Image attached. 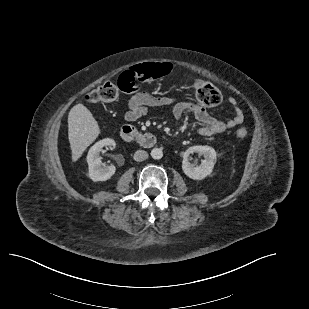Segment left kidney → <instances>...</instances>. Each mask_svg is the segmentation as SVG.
Masks as SVG:
<instances>
[{
  "mask_svg": "<svg viewBox=\"0 0 309 309\" xmlns=\"http://www.w3.org/2000/svg\"><path fill=\"white\" fill-rule=\"evenodd\" d=\"M200 153L204 159L200 165H194L189 162V155ZM216 151L210 146H192L183 153L182 169L183 172L193 180H202L210 175L216 163Z\"/></svg>",
  "mask_w": 309,
  "mask_h": 309,
  "instance_id": "5707ae66",
  "label": "left kidney"
}]
</instances>
